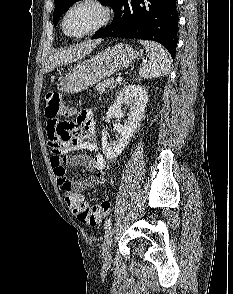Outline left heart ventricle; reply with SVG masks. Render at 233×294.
Returning <instances> with one entry per match:
<instances>
[{
  "label": "left heart ventricle",
  "mask_w": 233,
  "mask_h": 294,
  "mask_svg": "<svg viewBox=\"0 0 233 294\" xmlns=\"http://www.w3.org/2000/svg\"><path fill=\"white\" fill-rule=\"evenodd\" d=\"M100 18V12L91 5H83L74 9L66 21V29L70 34H82L94 27Z\"/></svg>",
  "instance_id": "1"
}]
</instances>
